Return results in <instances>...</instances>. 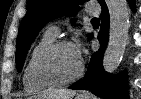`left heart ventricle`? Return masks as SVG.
<instances>
[{
    "instance_id": "left-heart-ventricle-1",
    "label": "left heart ventricle",
    "mask_w": 141,
    "mask_h": 99,
    "mask_svg": "<svg viewBox=\"0 0 141 99\" xmlns=\"http://www.w3.org/2000/svg\"><path fill=\"white\" fill-rule=\"evenodd\" d=\"M80 61L72 46H64L56 50L45 62L44 71L59 80L72 77L78 71Z\"/></svg>"
}]
</instances>
